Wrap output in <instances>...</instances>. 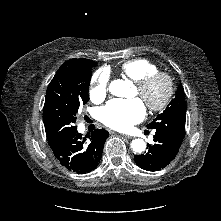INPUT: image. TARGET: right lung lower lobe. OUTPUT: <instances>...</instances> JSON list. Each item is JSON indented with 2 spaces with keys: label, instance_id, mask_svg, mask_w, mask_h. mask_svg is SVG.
I'll return each instance as SVG.
<instances>
[{
  "label": "right lung lower lobe",
  "instance_id": "obj_1",
  "mask_svg": "<svg viewBox=\"0 0 221 221\" xmlns=\"http://www.w3.org/2000/svg\"><path fill=\"white\" fill-rule=\"evenodd\" d=\"M108 136L109 133L104 129H96L85 137L76 130L50 147L55 157L68 170L85 174L95 169L100 162Z\"/></svg>",
  "mask_w": 221,
  "mask_h": 221
}]
</instances>
